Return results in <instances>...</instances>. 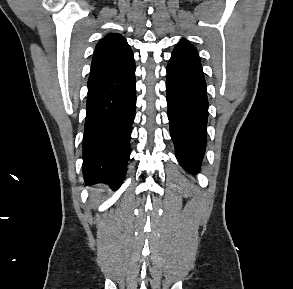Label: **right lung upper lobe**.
Returning a JSON list of instances; mask_svg holds the SVG:
<instances>
[{"label":"right lung upper lobe","instance_id":"1","mask_svg":"<svg viewBox=\"0 0 293 289\" xmlns=\"http://www.w3.org/2000/svg\"><path fill=\"white\" fill-rule=\"evenodd\" d=\"M135 73L133 52L126 39L118 33H110L96 45L88 93L123 82Z\"/></svg>","mask_w":293,"mask_h":289}]
</instances>
